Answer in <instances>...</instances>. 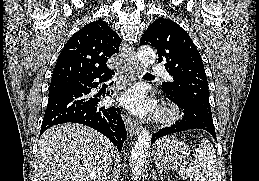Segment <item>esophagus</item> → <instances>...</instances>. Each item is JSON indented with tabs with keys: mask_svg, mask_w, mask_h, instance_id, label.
I'll use <instances>...</instances> for the list:
<instances>
[{
	"mask_svg": "<svg viewBox=\"0 0 259 181\" xmlns=\"http://www.w3.org/2000/svg\"><path fill=\"white\" fill-rule=\"evenodd\" d=\"M122 50L126 54V58H127V69L126 70L128 72V76L131 80H135L140 72V67L137 62L135 52H134L133 48L126 43H124L122 45ZM124 121H125L126 127L129 131L130 135H136L141 130L140 124L136 120L130 118L129 116L125 115Z\"/></svg>",
	"mask_w": 259,
	"mask_h": 181,
	"instance_id": "obj_1",
	"label": "esophagus"
}]
</instances>
